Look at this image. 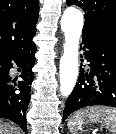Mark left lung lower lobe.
Wrapping results in <instances>:
<instances>
[{
    "label": "left lung lower lobe",
    "mask_w": 116,
    "mask_h": 134,
    "mask_svg": "<svg viewBox=\"0 0 116 134\" xmlns=\"http://www.w3.org/2000/svg\"><path fill=\"white\" fill-rule=\"evenodd\" d=\"M87 71L80 68L78 83L67 99L63 120L89 106L116 107V40L96 34H83ZM82 48V46H81Z\"/></svg>",
    "instance_id": "0a47b994"
}]
</instances>
